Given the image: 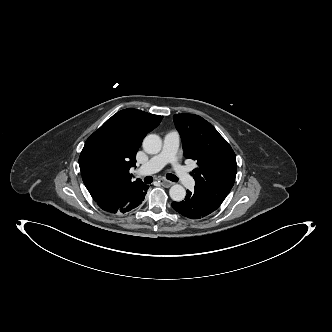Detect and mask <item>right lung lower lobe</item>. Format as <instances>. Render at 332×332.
<instances>
[{
	"instance_id": "1",
	"label": "right lung lower lobe",
	"mask_w": 332,
	"mask_h": 332,
	"mask_svg": "<svg viewBox=\"0 0 332 332\" xmlns=\"http://www.w3.org/2000/svg\"><path fill=\"white\" fill-rule=\"evenodd\" d=\"M149 186L143 182L117 194L97 200L98 206L110 213H126L136 208L145 198Z\"/></svg>"
}]
</instances>
